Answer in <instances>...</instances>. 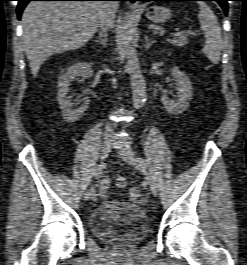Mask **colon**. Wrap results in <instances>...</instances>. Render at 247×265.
<instances>
[{
	"label": "colon",
	"mask_w": 247,
	"mask_h": 265,
	"mask_svg": "<svg viewBox=\"0 0 247 265\" xmlns=\"http://www.w3.org/2000/svg\"><path fill=\"white\" fill-rule=\"evenodd\" d=\"M116 186L120 189H124L127 187V180L123 176H119L116 179Z\"/></svg>",
	"instance_id": "colon-1"
}]
</instances>
